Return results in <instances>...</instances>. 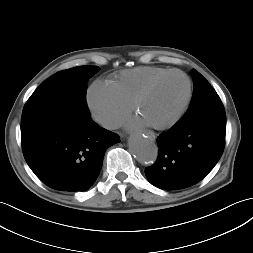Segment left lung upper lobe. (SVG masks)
<instances>
[{
  "mask_svg": "<svg viewBox=\"0 0 253 253\" xmlns=\"http://www.w3.org/2000/svg\"><path fill=\"white\" fill-rule=\"evenodd\" d=\"M194 94L190 107L181 120L193 121L209 116L225 115L223 104L209 82L196 70L191 71Z\"/></svg>",
  "mask_w": 253,
  "mask_h": 253,
  "instance_id": "1",
  "label": "left lung upper lobe"
}]
</instances>
